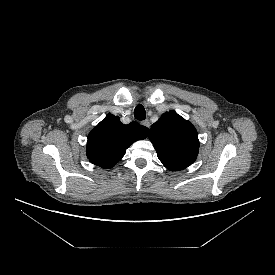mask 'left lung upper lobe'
I'll use <instances>...</instances> for the list:
<instances>
[{
	"instance_id": "left-lung-upper-lobe-1",
	"label": "left lung upper lobe",
	"mask_w": 275,
	"mask_h": 275,
	"mask_svg": "<svg viewBox=\"0 0 275 275\" xmlns=\"http://www.w3.org/2000/svg\"><path fill=\"white\" fill-rule=\"evenodd\" d=\"M149 139L156 149L159 160L171 171L183 170L197 158V130L175 111L163 114L152 125Z\"/></svg>"
}]
</instances>
